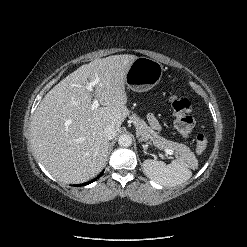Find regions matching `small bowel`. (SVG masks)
<instances>
[{
	"label": "small bowel",
	"mask_w": 247,
	"mask_h": 247,
	"mask_svg": "<svg viewBox=\"0 0 247 247\" xmlns=\"http://www.w3.org/2000/svg\"><path fill=\"white\" fill-rule=\"evenodd\" d=\"M150 121H151L152 125L158 126V123H157V121H156V119L154 117H151Z\"/></svg>",
	"instance_id": "1"
}]
</instances>
